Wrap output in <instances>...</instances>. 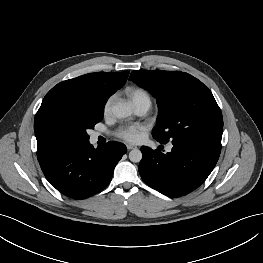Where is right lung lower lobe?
I'll return each mask as SVG.
<instances>
[{"instance_id": "98d812e1", "label": "right lung lower lobe", "mask_w": 263, "mask_h": 263, "mask_svg": "<svg viewBox=\"0 0 263 263\" xmlns=\"http://www.w3.org/2000/svg\"><path fill=\"white\" fill-rule=\"evenodd\" d=\"M126 151V146L116 141L97 149L87 141L62 149L39 163L46 179L58 191L73 199H84L110 183L114 168Z\"/></svg>"}]
</instances>
